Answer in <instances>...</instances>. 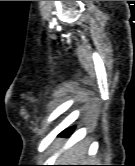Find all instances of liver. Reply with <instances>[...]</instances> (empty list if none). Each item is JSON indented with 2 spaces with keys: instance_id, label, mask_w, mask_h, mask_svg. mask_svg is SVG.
I'll return each mask as SVG.
<instances>
[{
  "instance_id": "obj_1",
  "label": "liver",
  "mask_w": 135,
  "mask_h": 166,
  "mask_svg": "<svg viewBox=\"0 0 135 166\" xmlns=\"http://www.w3.org/2000/svg\"><path fill=\"white\" fill-rule=\"evenodd\" d=\"M63 144V140H56L53 143V151L58 150ZM87 145L84 142H80L67 150L58 160V163H63L64 165H84L92 161L86 157Z\"/></svg>"
}]
</instances>
